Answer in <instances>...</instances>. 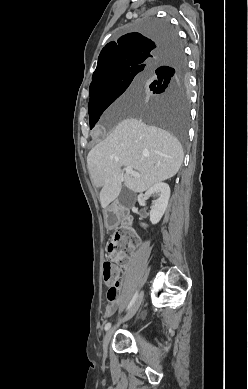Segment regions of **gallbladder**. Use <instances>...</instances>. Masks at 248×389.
<instances>
[{"label":"gallbladder","mask_w":248,"mask_h":389,"mask_svg":"<svg viewBox=\"0 0 248 389\" xmlns=\"http://www.w3.org/2000/svg\"><path fill=\"white\" fill-rule=\"evenodd\" d=\"M118 200L122 205H129L132 200L131 192L124 187L119 194Z\"/></svg>","instance_id":"1"}]
</instances>
